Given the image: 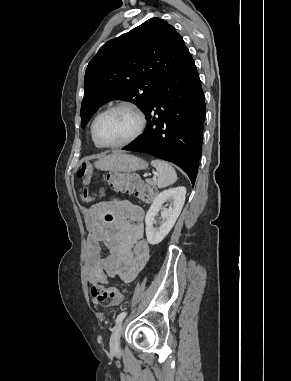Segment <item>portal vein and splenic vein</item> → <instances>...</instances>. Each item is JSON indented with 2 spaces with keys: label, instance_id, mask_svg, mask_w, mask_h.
<instances>
[{
  "label": "portal vein and splenic vein",
  "instance_id": "1",
  "mask_svg": "<svg viewBox=\"0 0 291 381\" xmlns=\"http://www.w3.org/2000/svg\"><path fill=\"white\" fill-rule=\"evenodd\" d=\"M153 180H154V181L156 180V177H155V176L153 177Z\"/></svg>",
  "mask_w": 291,
  "mask_h": 381
}]
</instances>
